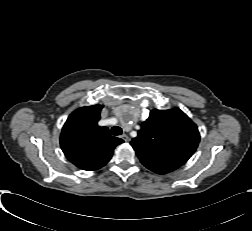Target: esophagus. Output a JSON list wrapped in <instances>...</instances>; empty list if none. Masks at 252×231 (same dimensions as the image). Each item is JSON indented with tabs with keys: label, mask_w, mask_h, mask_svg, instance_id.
<instances>
[{
	"label": "esophagus",
	"mask_w": 252,
	"mask_h": 231,
	"mask_svg": "<svg viewBox=\"0 0 252 231\" xmlns=\"http://www.w3.org/2000/svg\"><path fill=\"white\" fill-rule=\"evenodd\" d=\"M121 138H122L125 142H128V141L130 140V138L128 137L127 134L121 135Z\"/></svg>",
	"instance_id": "1"
}]
</instances>
